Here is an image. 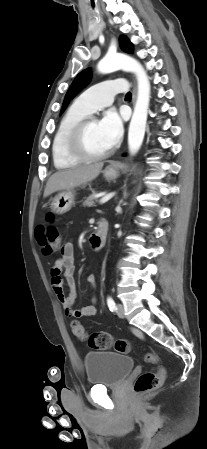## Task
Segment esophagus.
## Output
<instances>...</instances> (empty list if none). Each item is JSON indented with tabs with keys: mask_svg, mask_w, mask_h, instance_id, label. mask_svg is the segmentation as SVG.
I'll return each instance as SVG.
<instances>
[{
	"mask_svg": "<svg viewBox=\"0 0 207 449\" xmlns=\"http://www.w3.org/2000/svg\"><path fill=\"white\" fill-rule=\"evenodd\" d=\"M135 99H136V85H135V82H134V87H133V103L135 102Z\"/></svg>",
	"mask_w": 207,
	"mask_h": 449,
	"instance_id": "1",
	"label": "esophagus"
}]
</instances>
